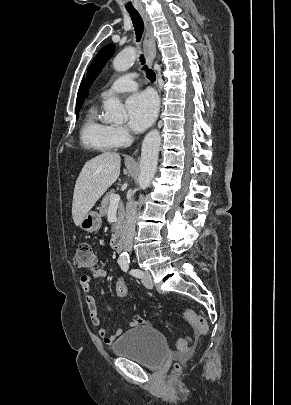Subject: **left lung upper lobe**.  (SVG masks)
Wrapping results in <instances>:
<instances>
[{"instance_id":"5c2ea615","label":"left lung upper lobe","mask_w":291,"mask_h":405,"mask_svg":"<svg viewBox=\"0 0 291 405\" xmlns=\"http://www.w3.org/2000/svg\"><path fill=\"white\" fill-rule=\"evenodd\" d=\"M115 50L113 44L104 46L97 54L88 69V85L90 86L94 78L97 76L99 70L103 67L106 61L112 56Z\"/></svg>"}]
</instances>
